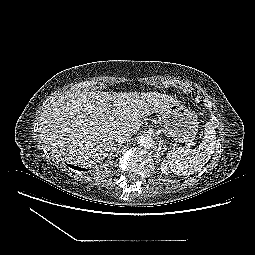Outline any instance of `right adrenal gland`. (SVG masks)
I'll return each mask as SVG.
<instances>
[{
	"label": "right adrenal gland",
	"mask_w": 255,
	"mask_h": 255,
	"mask_svg": "<svg viewBox=\"0 0 255 255\" xmlns=\"http://www.w3.org/2000/svg\"><path fill=\"white\" fill-rule=\"evenodd\" d=\"M122 144H116L111 148L110 156H117L119 149L121 148ZM116 152V153H115ZM115 153V154H114Z\"/></svg>",
	"instance_id": "obj_1"
}]
</instances>
